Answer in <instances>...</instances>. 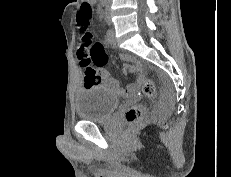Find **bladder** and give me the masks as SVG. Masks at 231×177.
<instances>
[{"label": "bladder", "instance_id": "1", "mask_svg": "<svg viewBox=\"0 0 231 177\" xmlns=\"http://www.w3.org/2000/svg\"><path fill=\"white\" fill-rule=\"evenodd\" d=\"M118 105V96L100 85L81 88L77 91L75 97L78 117L92 122H101L108 119Z\"/></svg>", "mask_w": 231, "mask_h": 177}]
</instances>
